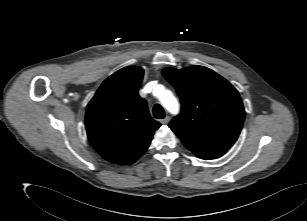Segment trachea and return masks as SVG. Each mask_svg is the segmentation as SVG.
I'll return each mask as SVG.
<instances>
[{
	"label": "trachea",
	"instance_id": "obj_1",
	"mask_svg": "<svg viewBox=\"0 0 307 221\" xmlns=\"http://www.w3.org/2000/svg\"><path fill=\"white\" fill-rule=\"evenodd\" d=\"M153 115L155 118L157 119H162L165 117V112L162 108L161 105L159 104H156L154 107H153Z\"/></svg>",
	"mask_w": 307,
	"mask_h": 221
}]
</instances>
